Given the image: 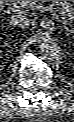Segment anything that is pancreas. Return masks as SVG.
I'll return each mask as SVG.
<instances>
[{
	"instance_id": "1",
	"label": "pancreas",
	"mask_w": 74,
	"mask_h": 122,
	"mask_svg": "<svg viewBox=\"0 0 74 122\" xmlns=\"http://www.w3.org/2000/svg\"><path fill=\"white\" fill-rule=\"evenodd\" d=\"M9 4H21L22 1H9ZM29 3H32V5H26L25 9H34L37 6V3L39 1H29ZM51 3L59 7V9L62 11L63 16L65 17L66 21H72L73 20V15H74V8L73 5L67 1H51Z\"/></svg>"
}]
</instances>
